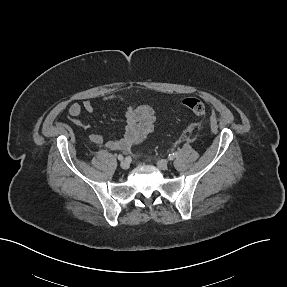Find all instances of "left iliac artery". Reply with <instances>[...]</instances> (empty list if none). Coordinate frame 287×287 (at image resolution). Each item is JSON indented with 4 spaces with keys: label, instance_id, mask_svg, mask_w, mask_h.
Returning a JSON list of instances; mask_svg holds the SVG:
<instances>
[{
    "label": "left iliac artery",
    "instance_id": "1",
    "mask_svg": "<svg viewBox=\"0 0 287 287\" xmlns=\"http://www.w3.org/2000/svg\"><path fill=\"white\" fill-rule=\"evenodd\" d=\"M177 156H178V153L174 152V153L169 155V159L172 160V159L176 158Z\"/></svg>",
    "mask_w": 287,
    "mask_h": 287
}]
</instances>
